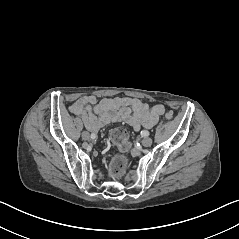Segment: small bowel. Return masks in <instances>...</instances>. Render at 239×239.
I'll use <instances>...</instances> for the list:
<instances>
[{
    "label": "small bowel",
    "mask_w": 239,
    "mask_h": 239,
    "mask_svg": "<svg viewBox=\"0 0 239 239\" xmlns=\"http://www.w3.org/2000/svg\"><path fill=\"white\" fill-rule=\"evenodd\" d=\"M162 105L150 106L131 97H113L98 100L95 96H83L71 106V112L79 116L85 127L97 132L116 122H125L134 130L154 126L164 113Z\"/></svg>",
    "instance_id": "obj_1"
}]
</instances>
